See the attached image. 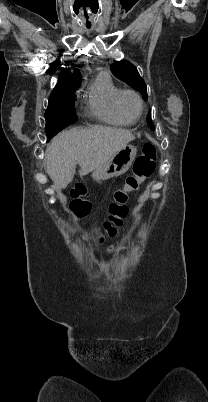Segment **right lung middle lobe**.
I'll return each instance as SVG.
<instances>
[{
	"mask_svg": "<svg viewBox=\"0 0 208 402\" xmlns=\"http://www.w3.org/2000/svg\"><path fill=\"white\" fill-rule=\"evenodd\" d=\"M50 96L49 104L45 112L46 123L52 121H62L64 124L70 125L77 120L74 109V92Z\"/></svg>",
	"mask_w": 208,
	"mask_h": 402,
	"instance_id": "right-lung-middle-lobe-1",
	"label": "right lung middle lobe"
}]
</instances>
